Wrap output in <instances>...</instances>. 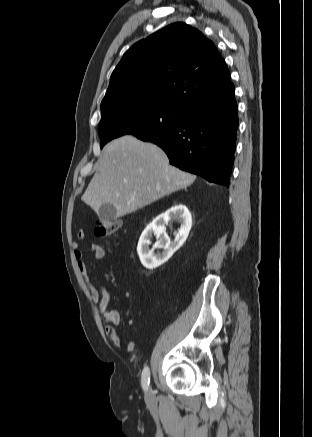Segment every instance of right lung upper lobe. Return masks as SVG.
<instances>
[{"mask_svg": "<svg viewBox=\"0 0 312 437\" xmlns=\"http://www.w3.org/2000/svg\"><path fill=\"white\" fill-rule=\"evenodd\" d=\"M227 65L200 31L174 23L134 44L113 71L101 116L123 105L161 102L188 109L222 91Z\"/></svg>", "mask_w": 312, "mask_h": 437, "instance_id": "obj_1", "label": "right lung upper lobe"}]
</instances>
